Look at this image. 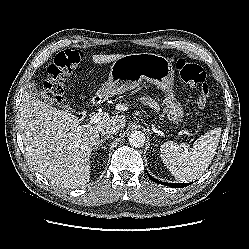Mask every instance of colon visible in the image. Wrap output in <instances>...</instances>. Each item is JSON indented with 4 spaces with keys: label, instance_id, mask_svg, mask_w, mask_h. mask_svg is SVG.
<instances>
[{
    "label": "colon",
    "instance_id": "colon-1",
    "mask_svg": "<svg viewBox=\"0 0 249 249\" xmlns=\"http://www.w3.org/2000/svg\"><path fill=\"white\" fill-rule=\"evenodd\" d=\"M82 60L83 53L78 49H66L54 57L47 68V78L44 82L46 94L54 101L61 102L63 100L66 80ZM176 68L184 82L198 89L197 104L200 107H205L209 99V89L205 81L204 69L185 59H178Z\"/></svg>",
    "mask_w": 249,
    "mask_h": 249
}]
</instances>
